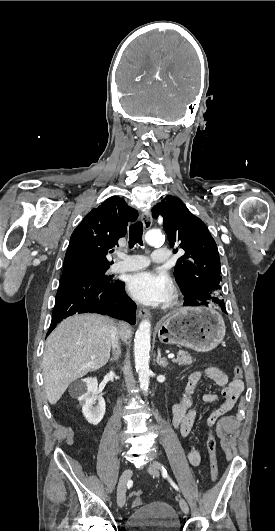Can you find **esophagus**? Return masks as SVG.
<instances>
[{"mask_svg": "<svg viewBox=\"0 0 275 531\" xmlns=\"http://www.w3.org/2000/svg\"><path fill=\"white\" fill-rule=\"evenodd\" d=\"M141 219H142L145 229H149L152 225L151 213L149 211H145L144 213H142ZM138 315L140 318H144L146 316H149L150 312L147 309L140 307L138 309Z\"/></svg>", "mask_w": 275, "mask_h": 531, "instance_id": "esophagus-1", "label": "esophagus"}]
</instances>
